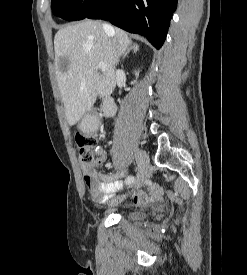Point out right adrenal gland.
<instances>
[{
  "label": "right adrenal gland",
  "instance_id": "right-adrenal-gland-1",
  "mask_svg": "<svg viewBox=\"0 0 247 275\" xmlns=\"http://www.w3.org/2000/svg\"><path fill=\"white\" fill-rule=\"evenodd\" d=\"M132 50L133 53H137L139 50V46L137 44H133L124 54L123 60L128 56L129 52Z\"/></svg>",
  "mask_w": 247,
  "mask_h": 275
}]
</instances>
